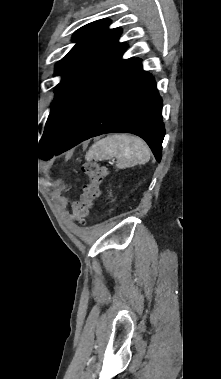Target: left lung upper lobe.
I'll list each match as a JSON object with an SVG mask.
<instances>
[{"mask_svg":"<svg viewBox=\"0 0 221 379\" xmlns=\"http://www.w3.org/2000/svg\"><path fill=\"white\" fill-rule=\"evenodd\" d=\"M109 24L110 20L102 19L78 29L73 35L77 44L57 63L55 72L62 80L39 143L41 159L50 158L101 94L135 60L122 59L128 46L118 43L121 30L108 29Z\"/></svg>","mask_w":221,"mask_h":379,"instance_id":"obj_1","label":"left lung upper lobe"}]
</instances>
